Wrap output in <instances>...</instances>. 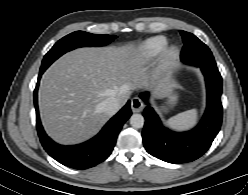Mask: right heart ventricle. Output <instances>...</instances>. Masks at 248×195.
Segmentation results:
<instances>
[{
  "mask_svg": "<svg viewBox=\"0 0 248 195\" xmlns=\"http://www.w3.org/2000/svg\"><path fill=\"white\" fill-rule=\"evenodd\" d=\"M167 44L168 39L166 36L158 35L151 37L134 50V57L140 61H150L159 56L164 51Z\"/></svg>",
  "mask_w": 248,
  "mask_h": 195,
  "instance_id": "obj_1",
  "label": "right heart ventricle"
}]
</instances>
